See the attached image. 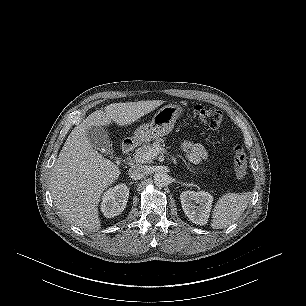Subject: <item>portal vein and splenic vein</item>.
I'll return each instance as SVG.
<instances>
[{
  "instance_id": "portal-vein-and-splenic-vein-1",
  "label": "portal vein and splenic vein",
  "mask_w": 306,
  "mask_h": 306,
  "mask_svg": "<svg viewBox=\"0 0 306 306\" xmlns=\"http://www.w3.org/2000/svg\"><path fill=\"white\" fill-rule=\"evenodd\" d=\"M164 152V149L163 148H159V147H156V148H151L149 149L146 153L143 154L142 158L144 160H151L153 158H155L158 154Z\"/></svg>"
}]
</instances>
